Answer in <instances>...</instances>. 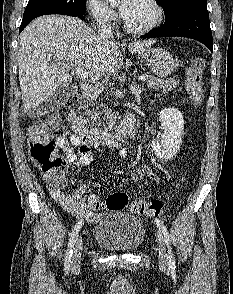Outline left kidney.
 I'll use <instances>...</instances> for the list:
<instances>
[{
    "instance_id": "left-kidney-1",
    "label": "left kidney",
    "mask_w": 233,
    "mask_h": 294,
    "mask_svg": "<svg viewBox=\"0 0 233 294\" xmlns=\"http://www.w3.org/2000/svg\"><path fill=\"white\" fill-rule=\"evenodd\" d=\"M159 116L163 133L152 140L151 147L157 157L170 160L176 155L182 143L184 119L182 113L175 108H164Z\"/></svg>"
}]
</instances>
